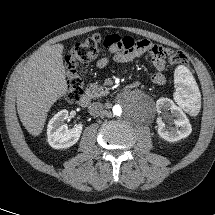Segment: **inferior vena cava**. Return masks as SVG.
Here are the masks:
<instances>
[{"mask_svg": "<svg viewBox=\"0 0 215 215\" xmlns=\"http://www.w3.org/2000/svg\"><path fill=\"white\" fill-rule=\"evenodd\" d=\"M103 108L104 107L102 103L93 102L88 106V111L92 116L97 117L103 114Z\"/></svg>", "mask_w": 215, "mask_h": 215, "instance_id": "inferior-vena-cava-1", "label": "inferior vena cava"}]
</instances>
